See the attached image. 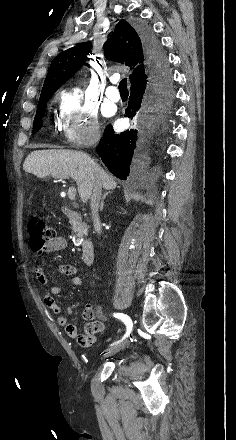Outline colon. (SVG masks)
Returning a JSON list of instances; mask_svg holds the SVG:
<instances>
[{
  "instance_id": "obj_1",
  "label": "colon",
  "mask_w": 236,
  "mask_h": 440,
  "mask_svg": "<svg viewBox=\"0 0 236 440\" xmlns=\"http://www.w3.org/2000/svg\"><path fill=\"white\" fill-rule=\"evenodd\" d=\"M29 245L33 250L43 248L48 242L55 238V231L47 225L42 217L32 215L27 223Z\"/></svg>"
}]
</instances>
